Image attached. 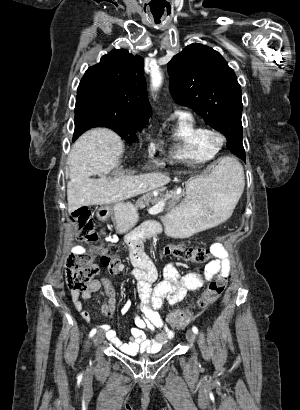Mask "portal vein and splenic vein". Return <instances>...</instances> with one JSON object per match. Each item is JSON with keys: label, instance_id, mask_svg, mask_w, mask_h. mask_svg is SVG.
I'll return each instance as SVG.
<instances>
[{"label": "portal vein and splenic vein", "instance_id": "obj_1", "mask_svg": "<svg viewBox=\"0 0 300 410\" xmlns=\"http://www.w3.org/2000/svg\"><path fill=\"white\" fill-rule=\"evenodd\" d=\"M167 199H163L161 201H159L156 205H154L149 212L153 213V212H161L163 210V207L165 206Z\"/></svg>", "mask_w": 300, "mask_h": 410}]
</instances>
